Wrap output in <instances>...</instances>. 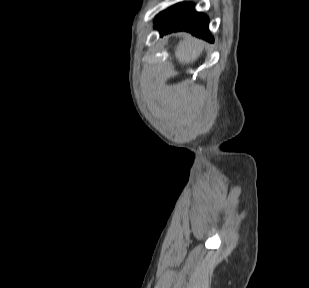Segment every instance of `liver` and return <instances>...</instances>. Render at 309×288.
I'll use <instances>...</instances> for the list:
<instances>
[{
    "mask_svg": "<svg viewBox=\"0 0 309 288\" xmlns=\"http://www.w3.org/2000/svg\"><path fill=\"white\" fill-rule=\"evenodd\" d=\"M204 49V42L196 39L190 35L185 37L183 41H180L177 46L175 55L178 62L182 65L195 62L198 57L202 54ZM159 102L162 106L168 105L169 99L160 95Z\"/></svg>",
    "mask_w": 309,
    "mask_h": 288,
    "instance_id": "liver-1",
    "label": "liver"
}]
</instances>
